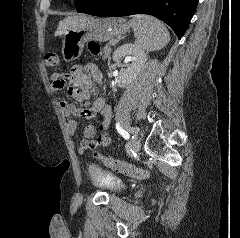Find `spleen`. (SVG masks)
I'll use <instances>...</instances> for the list:
<instances>
[{
    "label": "spleen",
    "mask_w": 240,
    "mask_h": 238,
    "mask_svg": "<svg viewBox=\"0 0 240 238\" xmlns=\"http://www.w3.org/2000/svg\"><path fill=\"white\" fill-rule=\"evenodd\" d=\"M136 43L145 51L160 50L167 45L170 35L164 24L148 15H136L130 22Z\"/></svg>",
    "instance_id": "1"
}]
</instances>
